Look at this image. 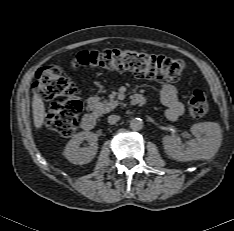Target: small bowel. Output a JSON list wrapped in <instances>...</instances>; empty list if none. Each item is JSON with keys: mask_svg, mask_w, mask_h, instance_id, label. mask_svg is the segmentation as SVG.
Returning <instances> with one entry per match:
<instances>
[{"mask_svg": "<svg viewBox=\"0 0 234 231\" xmlns=\"http://www.w3.org/2000/svg\"><path fill=\"white\" fill-rule=\"evenodd\" d=\"M160 101L167 106L165 116L169 121L175 122L184 112V107L178 96V89L171 84H164L159 91Z\"/></svg>", "mask_w": 234, "mask_h": 231, "instance_id": "small-bowel-1", "label": "small bowel"}]
</instances>
